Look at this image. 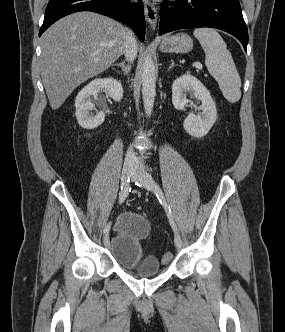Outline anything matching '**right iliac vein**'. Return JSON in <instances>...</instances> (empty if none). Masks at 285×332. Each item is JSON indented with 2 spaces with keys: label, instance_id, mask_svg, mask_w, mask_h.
Returning <instances> with one entry per match:
<instances>
[{
  "label": "right iliac vein",
  "instance_id": "obj_1",
  "mask_svg": "<svg viewBox=\"0 0 285 332\" xmlns=\"http://www.w3.org/2000/svg\"><path fill=\"white\" fill-rule=\"evenodd\" d=\"M133 172V167L131 165H125L122 169V184H125L127 182V179L129 178V176L132 174ZM103 242L105 246L109 245V234L106 233L104 238H103Z\"/></svg>",
  "mask_w": 285,
  "mask_h": 332
}]
</instances>
